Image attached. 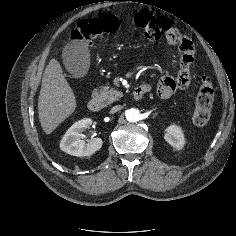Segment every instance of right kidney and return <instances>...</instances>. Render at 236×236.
<instances>
[{
    "label": "right kidney",
    "instance_id": "1",
    "mask_svg": "<svg viewBox=\"0 0 236 236\" xmlns=\"http://www.w3.org/2000/svg\"><path fill=\"white\" fill-rule=\"evenodd\" d=\"M92 124L90 118H85L74 123L65 133L61 142L60 149L73 156H90L98 151L103 144L101 138H92L85 142L82 140V132Z\"/></svg>",
    "mask_w": 236,
    "mask_h": 236
}]
</instances>
